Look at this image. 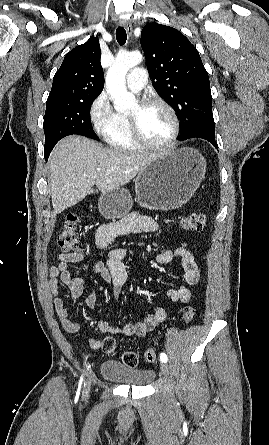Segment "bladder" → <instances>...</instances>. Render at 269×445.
I'll return each mask as SVG.
<instances>
[{
  "mask_svg": "<svg viewBox=\"0 0 269 445\" xmlns=\"http://www.w3.org/2000/svg\"><path fill=\"white\" fill-rule=\"evenodd\" d=\"M100 373L104 379L133 387L148 386L155 378V372L151 369L131 368L116 360L103 362Z\"/></svg>",
  "mask_w": 269,
  "mask_h": 445,
  "instance_id": "31cf9c89",
  "label": "bladder"
}]
</instances>
